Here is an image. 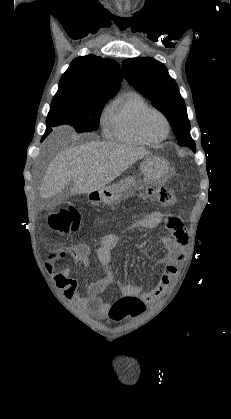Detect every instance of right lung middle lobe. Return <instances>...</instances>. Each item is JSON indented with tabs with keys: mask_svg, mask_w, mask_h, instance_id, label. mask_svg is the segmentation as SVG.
<instances>
[{
	"mask_svg": "<svg viewBox=\"0 0 231 419\" xmlns=\"http://www.w3.org/2000/svg\"><path fill=\"white\" fill-rule=\"evenodd\" d=\"M109 98L80 99L56 94L51 102L42 141L51 133L52 127L67 124L77 132L97 130L104 104Z\"/></svg>",
	"mask_w": 231,
	"mask_h": 419,
	"instance_id": "obj_1",
	"label": "right lung middle lobe"
}]
</instances>
